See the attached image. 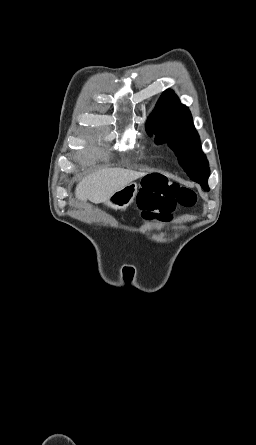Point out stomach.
I'll list each match as a JSON object with an SVG mask.
<instances>
[{
    "mask_svg": "<svg viewBox=\"0 0 256 445\" xmlns=\"http://www.w3.org/2000/svg\"><path fill=\"white\" fill-rule=\"evenodd\" d=\"M139 184L131 182L125 187L113 193L104 203L113 209H126L136 197Z\"/></svg>",
    "mask_w": 256,
    "mask_h": 445,
    "instance_id": "obj_1",
    "label": "stomach"
}]
</instances>
